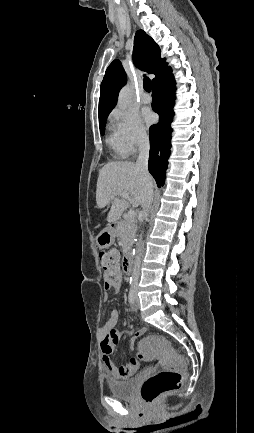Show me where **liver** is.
Returning <instances> with one entry per match:
<instances>
[{
	"mask_svg": "<svg viewBox=\"0 0 254 433\" xmlns=\"http://www.w3.org/2000/svg\"><path fill=\"white\" fill-rule=\"evenodd\" d=\"M121 193H127L130 199L123 198ZM143 194L144 176L135 163L109 162L99 171L96 203L99 208H104L111 202L107 216L109 224L116 222L130 205L133 207L141 205Z\"/></svg>",
	"mask_w": 254,
	"mask_h": 433,
	"instance_id": "1",
	"label": "liver"
}]
</instances>
